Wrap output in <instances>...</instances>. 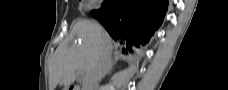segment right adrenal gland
Listing matches in <instances>:
<instances>
[{"mask_svg": "<svg viewBox=\"0 0 228 90\" xmlns=\"http://www.w3.org/2000/svg\"><path fill=\"white\" fill-rule=\"evenodd\" d=\"M113 65H114V60L111 62V64H110V67H109V69H108L107 74H109V73H110V70H111V68L113 67Z\"/></svg>", "mask_w": 228, "mask_h": 90, "instance_id": "1", "label": "right adrenal gland"}]
</instances>
